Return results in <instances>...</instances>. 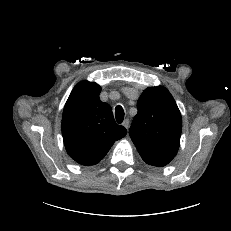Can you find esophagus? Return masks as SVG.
Here are the masks:
<instances>
[{"instance_id": "obj_1", "label": "esophagus", "mask_w": 231, "mask_h": 231, "mask_svg": "<svg viewBox=\"0 0 231 231\" xmlns=\"http://www.w3.org/2000/svg\"><path fill=\"white\" fill-rule=\"evenodd\" d=\"M122 124L128 130V128H129V120L125 119Z\"/></svg>"}]
</instances>
